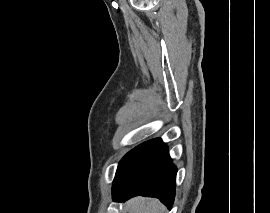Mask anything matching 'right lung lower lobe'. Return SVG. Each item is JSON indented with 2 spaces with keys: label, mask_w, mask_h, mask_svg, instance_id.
Segmentation results:
<instances>
[{
  "label": "right lung lower lobe",
  "mask_w": 270,
  "mask_h": 213,
  "mask_svg": "<svg viewBox=\"0 0 270 213\" xmlns=\"http://www.w3.org/2000/svg\"><path fill=\"white\" fill-rule=\"evenodd\" d=\"M177 168L160 138L146 141L120 161L113 181L115 201L133 196L157 197L169 208L173 204Z\"/></svg>",
  "instance_id": "1"
}]
</instances>
